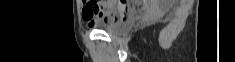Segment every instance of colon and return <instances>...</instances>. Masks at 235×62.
<instances>
[{"label":"colon","mask_w":235,"mask_h":62,"mask_svg":"<svg viewBox=\"0 0 235 62\" xmlns=\"http://www.w3.org/2000/svg\"><path fill=\"white\" fill-rule=\"evenodd\" d=\"M135 7H134V9H135ZM131 11L132 10H130L129 8L125 7L122 3H116L115 18L116 19L125 18Z\"/></svg>","instance_id":"colon-1"}]
</instances>
